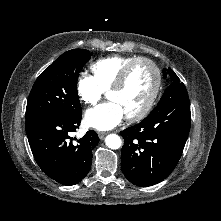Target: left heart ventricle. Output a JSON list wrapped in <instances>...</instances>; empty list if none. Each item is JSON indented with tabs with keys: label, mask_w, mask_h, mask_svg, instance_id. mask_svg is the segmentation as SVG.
<instances>
[{
	"label": "left heart ventricle",
	"mask_w": 221,
	"mask_h": 221,
	"mask_svg": "<svg viewBox=\"0 0 221 221\" xmlns=\"http://www.w3.org/2000/svg\"><path fill=\"white\" fill-rule=\"evenodd\" d=\"M155 82L153 69L146 63H138L131 70L124 87L107 95L116 102L124 115L131 116L139 112L147 103Z\"/></svg>",
	"instance_id": "obj_1"
}]
</instances>
